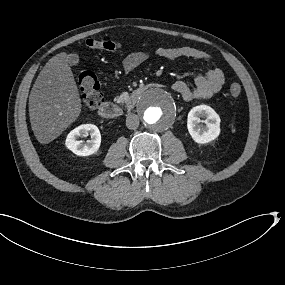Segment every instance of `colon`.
Instances as JSON below:
<instances>
[{
  "label": "colon",
  "mask_w": 285,
  "mask_h": 285,
  "mask_svg": "<svg viewBox=\"0 0 285 285\" xmlns=\"http://www.w3.org/2000/svg\"><path fill=\"white\" fill-rule=\"evenodd\" d=\"M85 46L89 49L106 51H117L122 48L119 42L97 39L86 40ZM77 81L85 106L90 109L99 108L103 103V94L96 75L91 71L81 69L78 71ZM228 92L232 97H237L241 93V86L238 83H232L229 86Z\"/></svg>",
  "instance_id": "colon-1"
}]
</instances>
